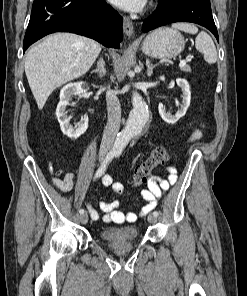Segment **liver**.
I'll return each mask as SVG.
<instances>
[{
  "mask_svg": "<svg viewBox=\"0 0 247 296\" xmlns=\"http://www.w3.org/2000/svg\"><path fill=\"white\" fill-rule=\"evenodd\" d=\"M101 45L73 33H55L32 47L25 58V73L38 108L61 85L89 71Z\"/></svg>",
  "mask_w": 247,
  "mask_h": 296,
  "instance_id": "liver-1",
  "label": "liver"
}]
</instances>
